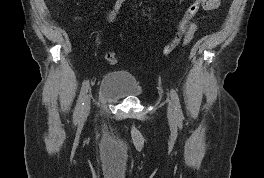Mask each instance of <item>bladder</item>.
Returning <instances> with one entry per match:
<instances>
[{"label": "bladder", "mask_w": 264, "mask_h": 178, "mask_svg": "<svg viewBox=\"0 0 264 178\" xmlns=\"http://www.w3.org/2000/svg\"><path fill=\"white\" fill-rule=\"evenodd\" d=\"M142 94V84L134 74L126 70H115L107 73L99 87V95L111 100L137 99Z\"/></svg>", "instance_id": "1"}]
</instances>
